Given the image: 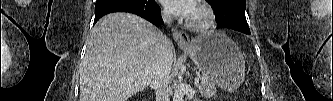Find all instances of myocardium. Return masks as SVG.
<instances>
[{
    "mask_svg": "<svg viewBox=\"0 0 333 101\" xmlns=\"http://www.w3.org/2000/svg\"><path fill=\"white\" fill-rule=\"evenodd\" d=\"M195 8L201 12L202 19L193 20L190 17L187 18V27L195 31H206L213 27L216 21V15L213 9L203 1H198Z\"/></svg>",
    "mask_w": 333,
    "mask_h": 101,
    "instance_id": "1",
    "label": "myocardium"
}]
</instances>
